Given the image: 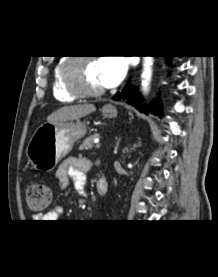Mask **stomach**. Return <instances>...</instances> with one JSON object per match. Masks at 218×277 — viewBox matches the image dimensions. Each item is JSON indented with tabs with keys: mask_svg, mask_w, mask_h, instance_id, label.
Returning <instances> with one entry per match:
<instances>
[{
	"mask_svg": "<svg viewBox=\"0 0 218 277\" xmlns=\"http://www.w3.org/2000/svg\"><path fill=\"white\" fill-rule=\"evenodd\" d=\"M101 111L106 118L117 116V110L112 105L103 106ZM86 133L87 126L80 120L44 123L30 138L26 148L28 161L36 170L49 172Z\"/></svg>",
	"mask_w": 218,
	"mask_h": 277,
	"instance_id": "0dacf381",
	"label": "stomach"
}]
</instances>
